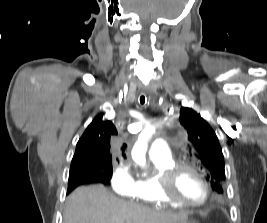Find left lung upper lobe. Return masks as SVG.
Segmentation results:
<instances>
[{
	"mask_svg": "<svg viewBox=\"0 0 267 223\" xmlns=\"http://www.w3.org/2000/svg\"><path fill=\"white\" fill-rule=\"evenodd\" d=\"M180 123L187 132V138L195 149L196 157L206 172L212 189L222 193L225 180L224 158L218 138L210 125L193 109L182 107Z\"/></svg>",
	"mask_w": 267,
	"mask_h": 223,
	"instance_id": "1",
	"label": "left lung upper lobe"
}]
</instances>
